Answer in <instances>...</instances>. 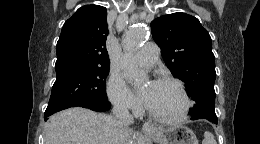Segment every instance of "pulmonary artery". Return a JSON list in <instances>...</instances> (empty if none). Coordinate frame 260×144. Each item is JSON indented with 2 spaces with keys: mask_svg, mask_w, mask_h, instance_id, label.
I'll return each instance as SVG.
<instances>
[{
  "mask_svg": "<svg viewBox=\"0 0 260 144\" xmlns=\"http://www.w3.org/2000/svg\"><path fill=\"white\" fill-rule=\"evenodd\" d=\"M159 50L154 44H146L136 54L135 59L137 63L145 68H150L158 62Z\"/></svg>",
  "mask_w": 260,
  "mask_h": 144,
  "instance_id": "obj_1",
  "label": "pulmonary artery"
}]
</instances>
